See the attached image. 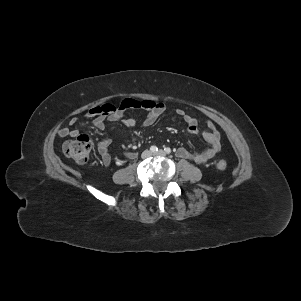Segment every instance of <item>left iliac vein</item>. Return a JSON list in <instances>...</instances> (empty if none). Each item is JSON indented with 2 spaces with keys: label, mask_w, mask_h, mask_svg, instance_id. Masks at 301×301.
Instances as JSON below:
<instances>
[{
  "label": "left iliac vein",
  "mask_w": 301,
  "mask_h": 301,
  "mask_svg": "<svg viewBox=\"0 0 301 301\" xmlns=\"http://www.w3.org/2000/svg\"><path fill=\"white\" fill-rule=\"evenodd\" d=\"M153 155H156V156H165L166 153L163 150H159L158 152L154 153Z\"/></svg>",
  "instance_id": "1"
}]
</instances>
